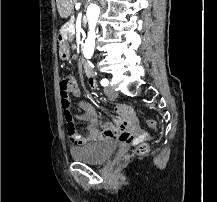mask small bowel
<instances>
[{"label": "small bowel", "instance_id": "c3829d8e", "mask_svg": "<svg viewBox=\"0 0 217 202\" xmlns=\"http://www.w3.org/2000/svg\"><path fill=\"white\" fill-rule=\"evenodd\" d=\"M88 86L95 90L97 83L95 78H88ZM70 94L78 98L81 94L80 88L75 85ZM71 105V104H70ZM130 104H119L115 114L105 124H99L95 108L86 102L77 103V118L85 122L87 126L81 132L74 131L69 134L70 143L75 146H85L105 140H118L121 144L131 145L142 141V136H149L147 132H142L136 125L133 112H129ZM122 109V112L121 110Z\"/></svg>", "mask_w": 217, "mask_h": 202}]
</instances>
